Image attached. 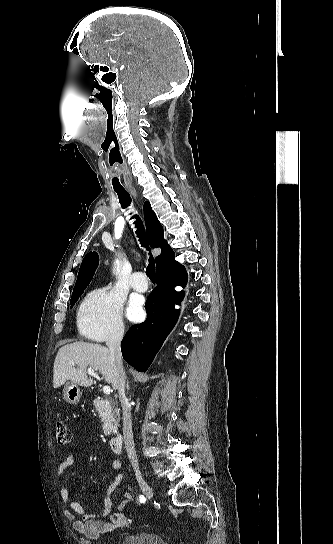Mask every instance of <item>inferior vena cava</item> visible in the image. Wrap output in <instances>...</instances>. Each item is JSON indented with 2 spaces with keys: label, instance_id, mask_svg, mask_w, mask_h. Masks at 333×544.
I'll return each mask as SVG.
<instances>
[{
  "label": "inferior vena cava",
  "instance_id": "inferior-vena-cava-1",
  "mask_svg": "<svg viewBox=\"0 0 333 544\" xmlns=\"http://www.w3.org/2000/svg\"><path fill=\"white\" fill-rule=\"evenodd\" d=\"M124 335V329L118 328L112 331L106 344L110 350L111 355L115 358L117 366V383H118V393L123 410V437L124 444L127 451L128 458L134 468L138 467V460L135 451V444L133 440L132 432V419H131V409L129 401L125 395V372L122 364V354L120 349V343Z\"/></svg>",
  "mask_w": 333,
  "mask_h": 544
}]
</instances>
